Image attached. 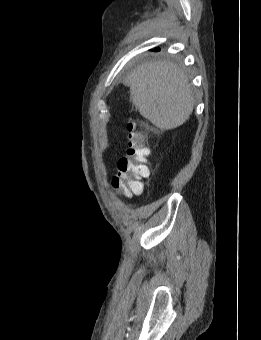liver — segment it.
<instances>
[{
	"label": "liver",
	"mask_w": 261,
	"mask_h": 340,
	"mask_svg": "<svg viewBox=\"0 0 261 340\" xmlns=\"http://www.w3.org/2000/svg\"><path fill=\"white\" fill-rule=\"evenodd\" d=\"M139 113L161 131L177 128L190 117L194 98L184 70L170 61H147L124 79Z\"/></svg>",
	"instance_id": "1"
}]
</instances>
